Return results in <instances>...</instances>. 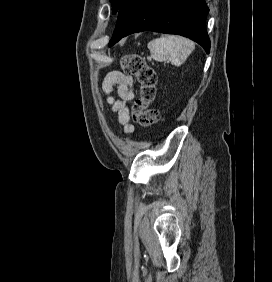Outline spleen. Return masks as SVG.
<instances>
[{
    "instance_id": "1",
    "label": "spleen",
    "mask_w": 272,
    "mask_h": 282,
    "mask_svg": "<svg viewBox=\"0 0 272 282\" xmlns=\"http://www.w3.org/2000/svg\"><path fill=\"white\" fill-rule=\"evenodd\" d=\"M194 48L192 41L178 36L160 37L148 43L153 59L157 61L168 59L176 66L183 64Z\"/></svg>"
}]
</instances>
